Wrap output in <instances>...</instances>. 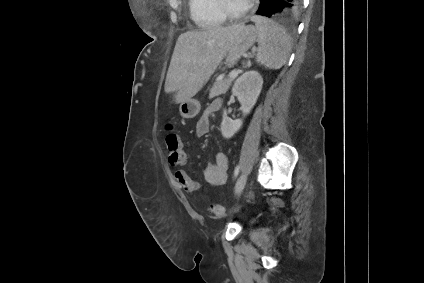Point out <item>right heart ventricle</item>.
Wrapping results in <instances>:
<instances>
[{
  "instance_id": "right-heart-ventricle-1",
  "label": "right heart ventricle",
  "mask_w": 424,
  "mask_h": 283,
  "mask_svg": "<svg viewBox=\"0 0 424 283\" xmlns=\"http://www.w3.org/2000/svg\"><path fill=\"white\" fill-rule=\"evenodd\" d=\"M188 4L191 19L201 29H214L226 21L219 9L218 0H189Z\"/></svg>"
}]
</instances>
